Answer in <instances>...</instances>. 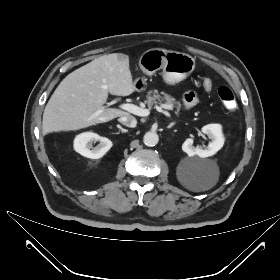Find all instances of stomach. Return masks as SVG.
I'll list each match as a JSON object with an SVG mask.
<instances>
[{
	"mask_svg": "<svg viewBox=\"0 0 280 280\" xmlns=\"http://www.w3.org/2000/svg\"><path fill=\"white\" fill-rule=\"evenodd\" d=\"M139 67L146 75H153L162 70L163 80L167 85H175L185 80L195 69V59L186 53L153 48L145 51L139 60ZM145 85V79L135 80V85Z\"/></svg>",
	"mask_w": 280,
	"mask_h": 280,
	"instance_id": "1",
	"label": "stomach"
}]
</instances>
